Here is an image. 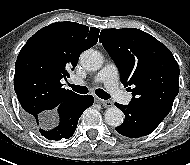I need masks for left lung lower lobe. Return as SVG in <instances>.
<instances>
[{
    "instance_id": "1",
    "label": "left lung lower lobe",
    "mask_w": 190,
    "mask_h": 165,
    "mask_svg": "<svg viewBox=\"0 0 190 165\" xmlns=\"http://www.w3.org/2000/svg\"><path fill=\"white\" fill-rule=\"evenodd\" d=\"M124 114L122 125L116 127V131L129 138H139L154 131L170 111L129 103L121 105L115 103Z\"/></svg>"
}]
</instances>
